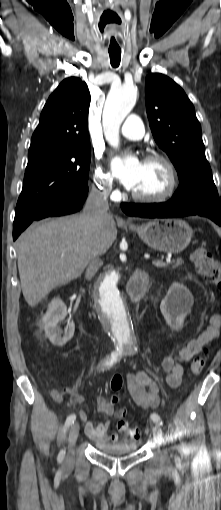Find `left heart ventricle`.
Returning <instances> with one entry per match:
<instances>
[{
    "label": "left heart ventricle",
    "mask_w": 221,
    "mask_h": 510,
    "mask_svg": "<svg viewBox=\"0 0 221 510\" xmlns=\"http://www.w3.org/2000/svg\"><path fill=\"white\" fill-rule=\"evenodd\" d=\"M168 173L159 161L143 162L139 181L133 192L142 195L161 193L167 186Z\"/></svg>",
    "instance_id": "b2bd125f"
}]
</instances>
